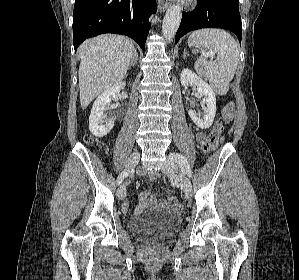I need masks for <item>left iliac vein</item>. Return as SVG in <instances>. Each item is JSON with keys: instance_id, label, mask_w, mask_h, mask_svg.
I'll use <instances>...</instances> for the list:
<instances>
[{"instance_id": "4c4485c4", "label": "left iliac vein", "mask_w": 299, "mask_h": 280, "mask_svg": "<svg viewBox=\"0 0 299 280\" xmlns=\"http://www.w3.org/2000/svg\"><path fill=\"white\" fill-rule=\"evenodd\" d=\"M162 172L171 177H179L181 181V185L184 191V194L187 199H190L192 196V184L189 178H187L184 174H180L177 164L174 160L171 159L170 155L166 160L164 166L162 167Z\"/></svg>"}]
</instances>
